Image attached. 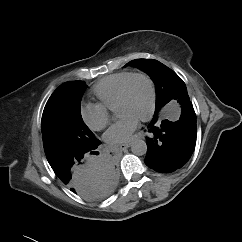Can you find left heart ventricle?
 Instances as JSON below:
<instances>
[{
    "label": "left heart ventricle",
    "mask_w": 242,
    "mask_h": 242,
    "mask_svg": "<svg viewBox=\"0 0 242 242\" xmlns=\"http://www.w3.org/2000/svg\"><path fill=\"white\" fill-rule=\"evenodd\" d=\"M149 104V85L144 78L138 77L131 82L127 99L116 108V114L118 117L130 114L139 119L147 112Z\"/></svg>",
    "instance_id": "b2bd125f"
}]
</instances>
